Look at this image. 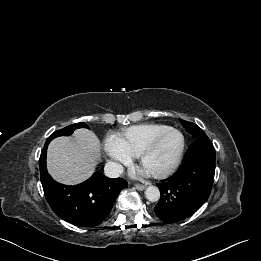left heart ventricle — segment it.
<instances>
[{"label":"left heart ventricle","mask_w":261,"mask_h":261,"mask_svg":"<svg viewBox=\"0 0 261 261\" xmlns=\"http://www.w3.org/2000/svg\"><path fill=\"white\" fill-rule=\"evenodd\" d=\"M180 139L174 133L165 135L153 152L145 159L142 168L149 173L166 168L173 160L179 147Z\"/></svg>","instance_id":"obj_1"}]
</instances>
